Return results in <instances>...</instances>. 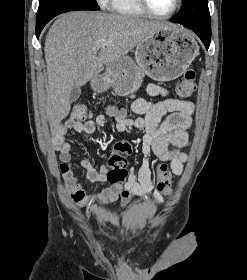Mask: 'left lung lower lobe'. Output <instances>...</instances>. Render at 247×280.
Segmentation results:
<instances>
[{
    "mask_svg": "<svg viewBox=\"0 0 247 280\" xmlns=\"http://www.w3.org/2000/svg\"><path fill=\"white\" fill-rule=\"evenodd\" d=\"M171 21L182 24L177 19H172ZM184 26H187V25H184ZM188 27L190 29H192L200 37V39L204 43L206 49H208L209 45H210V39H211V30H205V29L198 28L195 26H188Z\"/></svg>",
    "mask_w": 247,
    "mask_h": 280,
    "instance_id": "left-lung-lower-lobe-1",
    "label": "left lung lower lobe"
}]
</instances>
